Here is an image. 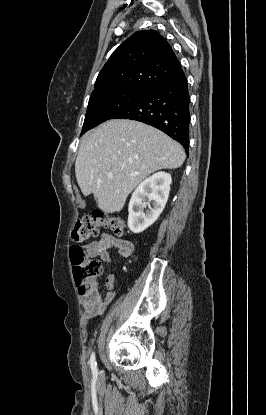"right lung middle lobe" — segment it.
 Wrapping results in <instances>:
<instances>
[{"label": "right lung middle lobe", "instance_id": "right-lung-middle-lobe-1", "mask_svg": "<svg viewBox=\"0 0 266 415\" xmlns=\"http://www.w3.org/2000/svg\"><path fill=\"white\" fill-rule=\"evenodd\" d=\"M149 90L136 88H116L96 94L89 99L82 133L111 119L119 111L143 99Z\"/></svg>", "mask_w": 266, "mask_h": 415}]
</instances>
